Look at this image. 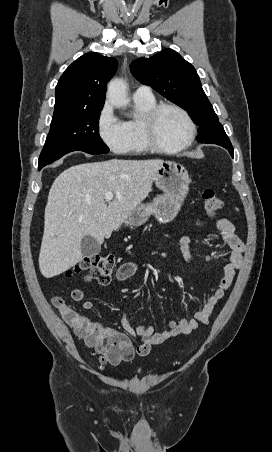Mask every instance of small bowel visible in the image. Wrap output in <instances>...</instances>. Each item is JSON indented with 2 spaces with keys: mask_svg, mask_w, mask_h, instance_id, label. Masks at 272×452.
Here are the masks:
<instances>
[{
  "mask_svg": "<svg viewBox=\"0 0 272 452\" xmlns=\"http://www.w3.org/2000/svg\"><path fill=\"white\" fill-rule=\"evenodd\" d=\"M217 228L220 232L222 241L229 248L228 262L223 267V276L217 289L207 299L204 306L194 312L193 317L185 318L177 322L172 321L170 322L169 329L162 332H155L153 327L145 324H140L133 329L124 314H122L121 322L125 332L110 327H104L99 322L92 321L90 318L80 315L74 309H71L69 313H63L62 317L79 338L97 349L98 341L101 337L112 336L116 338L122 346L129 349V359L134 356L131 337L141 338L142 343L137 347V353L139 355H146L152 346L161 344L178 335L189 334L196 330L199 324H208L215 307L225 296V293L233 283L237 272L242 269L243 254L245 252L244 243L237 236L233 224L228 219H220L217 223ZM192 244L193 241L188 235H183L179 239V247L184 259L190 264H195L197 260L191 252ZM138 269L139 264L137 262L131 261L123 263L116 272V279L120 282L125 281L135 275ZM71 298L74 302H81L84 310H91L95 307V304L92 301H84V293L79 289H75L71 292ZM142 347L146 348V351H140V348Z\"/></svg>",
  "mask_w": 272,
  "mask_h": 452,
  "instance_id": "c3829d8e",
  "label": "small bowel"
}]
</instances>
